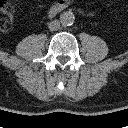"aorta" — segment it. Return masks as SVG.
<instances>
[{
    "instance_id": "obj_1",
    "label": "aorta",
    "mask_w": 128,
    "mask_h": 128,
    "mask_svg": "<svg viewBox=\"0 0 128 128\" xmlns=\"http://www.w3.org/2000/svg\"><path fill=\"white\" fill-rule=\"evenodd\" d=\"M59 19L63 26H71L75 21V16L71 11H64L60 14Z\"/></svg>"
}]
</instances>
